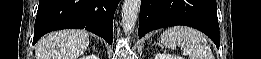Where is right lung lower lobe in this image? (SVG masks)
<instances>
[{
    "label": "right lung lower lobe",
    "instance_id": "obj_1",
    "mask_svg": "<svg viewBox=\"0 0 261 59\" xmlns=\"http://www.w3.org/2000/svg\"><path fill=\"white\" fill-rule=\"evenodd\" d=\"M118 3L119 0H40L33 44L48 32L67 28L86 29L112 44Z\"/></svg>",
    "mask_w": 261,
    "mask_h": 59
}]
</instances>
